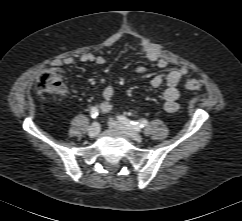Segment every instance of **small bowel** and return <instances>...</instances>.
<instances>
[{
    "label": "small bowel",
    "mask_w": 242,
    "mask_h": 221,
    "mask_svg": "<svg viewBox=\"0 0 242 221\" xmlns=\"http://www.w3.org/2000/svg\"><path fill=\"white\" fill-rule=\"evenodd\" d=\"M139 52L144 56L149 62H151L154 67L158 69H164L168 66V61L164 58L154 47H152L145 40H140ZM80 61L83 63H95L98 65H103L105 63V58L100 55H95L93 53H84L80 57ZM75 60L73 57H65L62 59H56L53 61L52 65L54 67H61L63 65L70 66L74 64ZM148 71L145 66H139L136 68L138 74H144ZM188 73V69L184 66L173 69L167 73L166 76L157 75L152 78L150 84L153 88L160 87L163 83L166 84V88L162 94V99L164 102V109L169 113H174L179 109L178 99L179 90L177 85L181 78ZM103 101L100 104V110L104 113L109 112L113 107V100L115 97V89L111 84L104 87L102 91Z\"/></svg>",
    "instance_id": "1"
}]
</instances>
